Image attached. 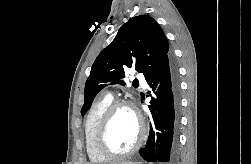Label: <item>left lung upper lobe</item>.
<instances>
[{"instance_id":"1","label":"left lung upper lobe","mask_w":251,"mask_h":164,"mask_svg":"<svg viewBox=\"0 0 251 164\" xmlns=\"http://www.w3.org/2000/svg\"><path fill=\"white\" fill-rule=\"evenodd\" d=\"M169 55L168 41L153 18L146 15L131 18L94 61L85 84L81 114L88 111L101 89L118 83L125 76L127 67H134L146 78ZM120 83L124 85V82Z\"/></svg>"}]
</instances>
